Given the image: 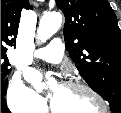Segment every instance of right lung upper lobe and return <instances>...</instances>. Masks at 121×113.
I'll list each match as a JSON object with an SVG mask.
<instances>
[{
    "label": "right lung upper lobe",
    "instance_id": "right-lung-upper-lobe-1",
    "mask_svg": "<svg viewBox=\"0 0 121 113\" xmlns=\"http://www.w3.org/2000/svg\"><path fill=\"white\" fill-rule=\"evenodd\" d=\"M23 7L29 9L28 0H1V52L16 43Z\"/></svg>",
    "mask_w": 121,
    "mask_h": 113
}]
</instances>
